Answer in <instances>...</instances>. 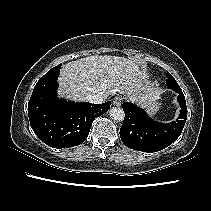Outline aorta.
Segmentation results:
<instances>
[{"label":"aorta","instance_id":"obj_1","mask_svg":"<svg viewBox=\"0 0 211 211\" xmlns=\"http://www.w3.org/2000/svg\"><path fill=\"white\" fill-rule=\"evenodd\" d=\"M111 119L115 121H123L124 120V111L118 107H112L109 111Z\"/></svg>","mask_w":211,"mask_h":211}]
</instances>
